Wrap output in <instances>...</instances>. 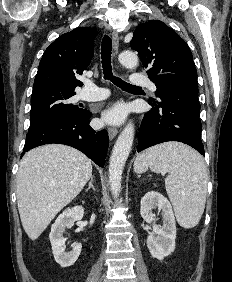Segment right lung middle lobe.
<instances>
[{
	"label": "right lung middle lobe",
	"instance_id": "1",
	"mask_svg": "<svg viewBox=\"0 0 232 282\" xmlns=\"http://www.w3.org/2000/svg\"><path fill=\"white\" fill-rule=\"evenodd\" d=\"M74 90L47 89L32 92L30 127L35 129L61 115H82L86 110L81 104H73L70 98Z\"/></svg>",
	"mask_w": 232,
	"mask_h": 282
}]
</instances>
